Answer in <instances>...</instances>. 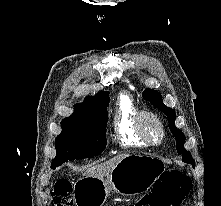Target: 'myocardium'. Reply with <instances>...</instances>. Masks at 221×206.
I'll return each instance as SVG.
<instances>
[{"label": "myocardium", "mask_w": 221, "mask_h": 206, "mask_svg": "<svg viewBox=\"0 0 221 206\" xmlns=\"http://www.w3.org/2000/svg\"><path fill=\"white\" fill-rule=\"evenodd\" d=\"M147 122H153L158 127L160 131V137L158 141H153L150 139L146 129ZM136 128L137 132L139 133L142 140L146 143V145L160 146L164 142L166 130L162 120L155 113L146 110L139 111L136 117Z\"/></svg>", "instance_id": "obj_1"}]
</instances>
